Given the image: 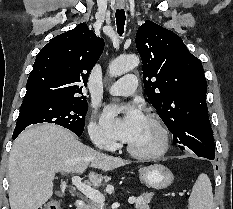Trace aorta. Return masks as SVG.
Masks as SVG:
<instances>
[{
	"label": "aorta",
	"instance_id": "1",
	"mask_svg": "<svg viewBox=\"0 0 233 209\" xmlns=\"http://www.w3.org/2000/svg\"><path fill=\"white\" fill-rule=\"evenodd\" d=\"M139 62V58L136 55L119 57L111 62L108 68V72L111 76H120L137 67Z\"/></svg>",
	"mask_w": 233,
	"mask_h": 209
}]
</instances>
